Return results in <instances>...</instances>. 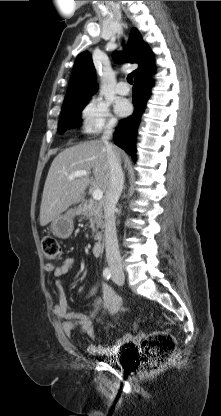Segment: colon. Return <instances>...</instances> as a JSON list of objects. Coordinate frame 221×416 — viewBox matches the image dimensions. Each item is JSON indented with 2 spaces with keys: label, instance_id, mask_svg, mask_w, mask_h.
I'll return each instance as SVG.
<instances>
[{
  "label": "colon",
  "instance_id": "5ec220e1",
  "mask_svg": "<svg viewBox=\"0 0 221 416\" xmlns=\"http://www.w3.org/2000/svg\"><path fill=\"white\" fill-rule=\"evenodd\" d=\"M44 257L57 260L61 256V248L56 238L45 236L42 239ZM176 347L173 335L163 330L149 333L142 342L143 363L146 369H153L163 363Z\"/></svg>",
  "mask_w": 221,
  "mask_h": 416
}]
</instances>
